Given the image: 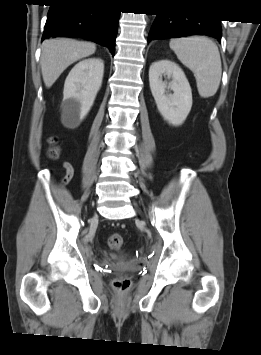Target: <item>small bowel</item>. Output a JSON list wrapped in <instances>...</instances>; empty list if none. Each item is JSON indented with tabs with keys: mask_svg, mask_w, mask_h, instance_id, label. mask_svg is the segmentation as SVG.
Here are the masks:
<instances>
[{
	"mask_svg": "<svg viewBox=\"0 0 261 355\" xmlns=\"http://www.w3.org/2000/svg\"><path fill=\"white\" fill-rule=\"evenodd\" d=\"M63 166H64L66 172H67L68 170H70V171L73 173V168H72V166H71L70 163L64 162V163H63Z\"/></svg>",
	"mask_w": 261,
	"mask_h": 355,
	"instance_id": "obj_1",
	"label": "small bowel"
}]
</instances>
